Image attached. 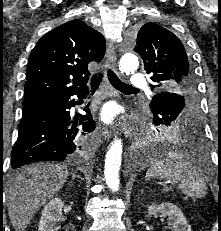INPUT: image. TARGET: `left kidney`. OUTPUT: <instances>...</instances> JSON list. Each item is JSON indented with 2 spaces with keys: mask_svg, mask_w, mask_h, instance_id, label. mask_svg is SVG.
<instances>
[{
  "mask_svg": "<svg viewBox=\"0 0 221 231\" xmlns=\"http://www.w3.org/2000/svg\"><path fill=\"white\" fill-rule=\"evenodd\" d=\"M147 216L151 217L157 213H161L168 217V225L171 231H191V226L186 221L182 211L170 202H162L161 204H152L148 206Z\"/></svg>",
  "mask_w": 221,
  "mask_h": 231,
  "instance_id": "left-kidney-1",
  "label": "left kidney"
}]
</instances>
